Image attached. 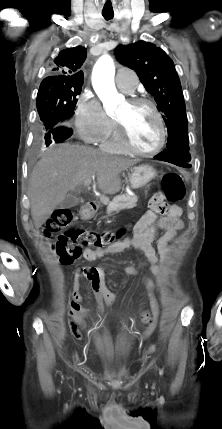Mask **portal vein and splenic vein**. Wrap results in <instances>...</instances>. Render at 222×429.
I'll return each instance as SVG.
<instances>
[{"instance_id":"18ae733b","label":"portal vein and splenic vein","mask_w":222,"mask_h":429,"mask_svg":"<svg viewBox=\"0 0 222 429\" xmlns=\"http://www.w3.org/2000/svg\"><path fill=\"white\" fill-rule=\"evenodd\" d=\"M90 182H91V180H86V181L84 182V185H85V186H88V185L90 184Z\"/></svg>"}]
</instances>
